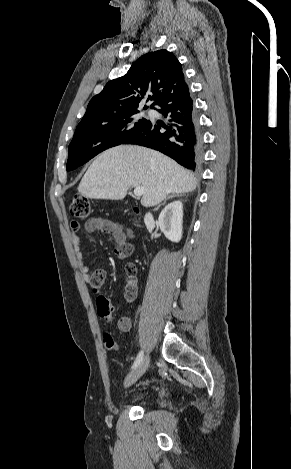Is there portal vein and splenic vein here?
Wrapping results in <instances>:
<instances>
[{"label": "portal vein and splenic vein", "instance_id": "1", "mask_svg": "<svg viewBox=\"0 0 291 469\" xmlns=\"http://www.w3.org/2000/svg\"><path fill=\"white\" fill-rule=\"evenodd\" d=\"M143 193H144V188L141 187V186H138V187H136V188L134 189V195H135L136 197L142 196Z\"/></svg>", "mask_w": 291, "mask_h": 469}]
</instances>
